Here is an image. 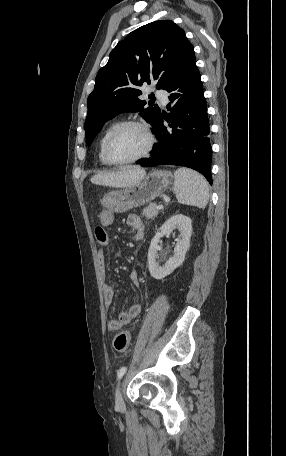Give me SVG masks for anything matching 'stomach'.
Masks as SVG:
<instances>
[{
  "mask_svg": "<svg viewBox=\"0 0 286 456\" xmlns=\"http://www.w3.org/2000/svg\"><path fill=\"white\" fill-rule=\"evenodd\" d=\"M172 177L170 171L153 170L138 183L123 190L107 193L100 203L113 212H126L151 202L165 192L171 184Z\"/></svg>",
  "mask_w": 286,
  "mask_h": 456,
  "instance_id": "1",
  "label": "stomach"
}]
</instances>
